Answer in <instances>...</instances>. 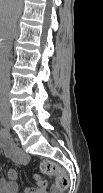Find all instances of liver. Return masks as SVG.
Segmentation results:
<instances>
[{
  "instance_id": "obj_1",
  "label": "liver",
  "mask_w": 103,
  "mask_h": 193,
  "mask_svg": "<svg viewBox=\"0 0 103 193\" xmlns=\"http://www.w3.org/2000/svg\"><path fill=\"white\" fill-rule=\"evenodd\" d=\"M21 6V0H0V21L5 34L10 25L14 23L16 13Z\"/></svg>"
}]
</instances>
